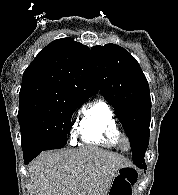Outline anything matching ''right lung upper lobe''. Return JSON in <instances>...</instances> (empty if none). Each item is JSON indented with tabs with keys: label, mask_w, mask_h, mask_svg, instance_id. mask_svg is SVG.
I'll return each mask as SVG.
<instances>
[{
	"label": "right lung upper lobe",
	"mask_w": 178,
	"mask_h": 195,
	"mask_svg": "<svg viewBox=\"0 0 178 195\" xmlns=\"http://www.w3.org/2000/svg\"><path fill=\"white\" fill-rule=\"evenodd\" d=\"M97 92L90 49L72 38H62L42 49L26 68L19 98L85 101Z\"/></svg>",
	"instance_id": "obj_1"
}]
</instances>
